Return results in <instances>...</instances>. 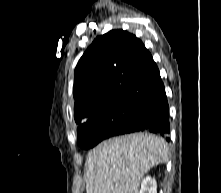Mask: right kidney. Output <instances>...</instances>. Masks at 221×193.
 Returning a JSON list of instances; mask_svg holds the SVG:
<instances>
[{
  "label": "right kidney",
  "instance_id": "1",
  "mask_svg": "<svg viewBox=\"0 0 221 193\" xmlns=\"http://www.w3.org/2000/svg\"><path fill=\"white\" fill-rule=\"evenodd\" d=\"M139 193H157L156 180L150 176L144 178Z\"/></svg>",
  "mask_w": 221,
  "mask_h": 193
}]
</instances>
